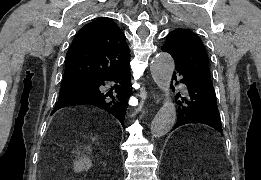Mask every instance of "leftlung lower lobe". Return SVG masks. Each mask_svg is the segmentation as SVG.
Returning a JSON list of instances; mask_svg holds the SVG:
<instances>
[{"label":"left lung lower lobe","mask_w":261,"mask_h":180,"mask_svg":"<svg viewBox=\"0 0 261 180\" xmlns=\"http://www.w3.org/2000/svg\"><path fill=\"white\" fill-rule=\"evenodd\" d=\"M178 76L184 89L182 94L178 93L176 96L179 108L174 128L189 123H202L222 131L213 85L198 73L175 63L173 79L176 80Z\"/></svg>","instance_id":"left-lung-lower-lobe-1"}]
</instances>
